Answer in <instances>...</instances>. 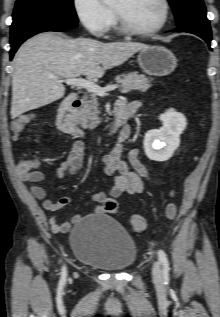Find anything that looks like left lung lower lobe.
<instances>
[{"instance_id":"left-lung-lower-lobe-1","label":"left lung lower lobe","mask_w":220,"mask_h":317,"mask_svg":"<svg viewBox=\"0 0 220 317\" xmlns=\"http://www.w3.org/2000/svg\"><path fill=\"white\" fill-rule=\"evenodd\" d=\"M173 31H181L195 34L204 39L209 46L212 40L210 24L202 23L198 20L189 21L181 26H178V28L174 29Z\"/></svg>"}]
</instances>
